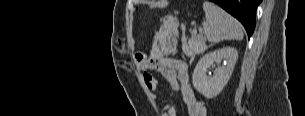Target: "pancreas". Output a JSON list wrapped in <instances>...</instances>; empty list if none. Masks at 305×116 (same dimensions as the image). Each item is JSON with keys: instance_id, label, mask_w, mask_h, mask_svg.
Here are the masks:
<instances>
[{"instance_id": "obj_1", "label": "pancreas", "mask_w": 305, "mask_h": 116, "mask_svg": "<svg viewBox=\"0 0 305 116\" xmlns=\"http://www.w3.org/2000/svg\"><path fill=\"white\" fill-rule=\"evenodd\" d=\"M207 49L206 40L202 34H192V37L188 41V45L183 44V52L191 58L195 55L203 53Z\"/></svg>"}]
</instances>
